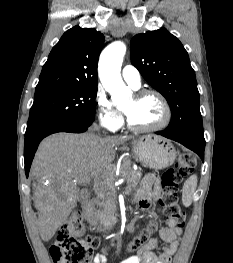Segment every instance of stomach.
<instances>
[{
    "instance_id": "stomach-1",
    "label": "stomach",
    "mask_w": 233,
    "mask_h": 263,
    "mask_svg": "<svg viewBox=\"0 0 233 263\" xmlns=\"http://www.w3.org/2000/svg\"><path fill=\"white\" fill-rule=\"evenodd\" d=\"M132 152L145 167L156 170L172 165L176 158L174 146L166 139L153 135L136 138L132 142Z\"/></svg>"
}]
</instances>
